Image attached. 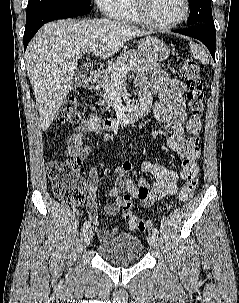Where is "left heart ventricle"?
Returning a JSON list of instances; mask_svg holds the SVG:
<instances>
[{
  "instance_id": "left-heart-ventricle-1",
  "label": "left heart ventricle",
  "mask_w": 239,
  "mask_h": 303,
  "mask_svg": "<svg viewBox=\"0 0 239 303\" xmlns=\"http://www.w3.org/2000/svg\"><path fill=\"white\" fill-rule=\"evenodd\" d=\"M148 17L156 23H171L181 17L183 0H146Z\"/></svg>"
}]
</instances>
